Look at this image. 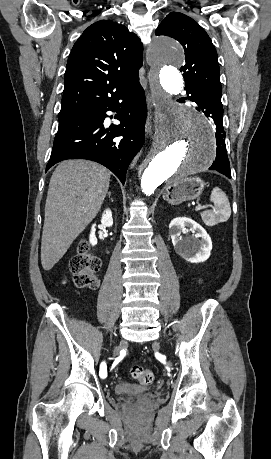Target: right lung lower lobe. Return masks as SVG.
Here are the masks:
<instances>
[{"label": "right lung lower lobe", "instance_id": "right-lung-lower-lobe-1", "mask_svg": "<svg viewBox=\"0 0 271 459\" xmlns=\"http://www.w3.org/2000/svg\"><path fill=\"white\" fill-rule=\"evenodd\" d=\"M109 110L121 114L120 125L111 133L103 126ZM146 115L144 90L138 82L101 101L95 112L60 121L46 171L62 160L87 159L110 169L124 184L127 168L144 141Z\"/></svg>", "mask_w": 271, "mask_h": 459}]
</instances>
